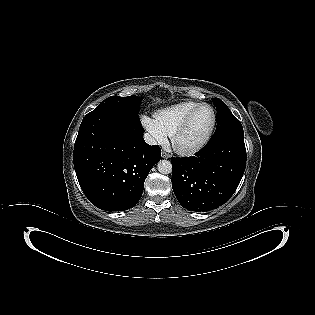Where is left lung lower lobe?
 Instances as JSON below:
<instances>
[{
	"label": "left lung lower lobe",
	"instance_id": "1",
	"mask_svg": "<svg viewBox=\"0 0 315 315\" xmlns=\"http://www.w3.org/2000/svg\"><path fill=\"white\" fill-rule=\"evenodd\" d=\"M172 188L182 207L215 209L236 191L246 166L244 137L223 136L210 141L192 157H172Z\"/></svg>",
	"mask_w": 315,
	"mask_h": 315
}]
</instances>
